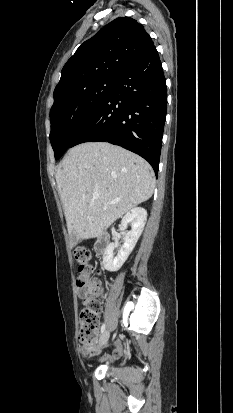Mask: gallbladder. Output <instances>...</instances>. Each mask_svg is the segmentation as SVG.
Here are the masks:
<instances>
[{"instance_id": "bac80fb5", "label": "gallbladder", "mask_w": 233, "mask_h": 413, "mask_svg": "<svg viewBox=\"0 0 233 413\" xmlns=\"http://www.w3.org/2000/svg\"><path fill=\"white\" fill-rule=\"evenodd\" d=\"M77 243H78L77 236H76L75 234H73V235L71 236V245H72V246H75Z\"/></svg>"}]
</instances>
